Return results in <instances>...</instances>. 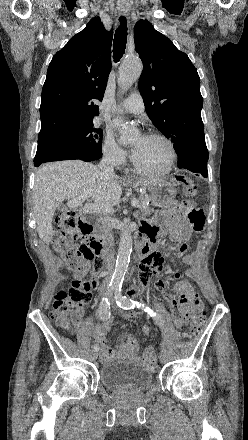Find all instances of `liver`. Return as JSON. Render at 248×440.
<instances>
[{
  "label": "liver",
  "mask_w": 248,
  "mask_h": 440,
  "mask_svg": "<svg viewBox=\"0 0 248 440\" xmlns=\"http://www.w3.org/2000/svg\"><path fill=\"white\" fill-rule=\"evenodd\" d=\"M136 181L147 184L162 180ZM87 191L94 203L110 206L118 204L122 195L117 176L105 175L91 163L58 161L38 168L33 189V208L41 240L50 243L53 236L52 220L61 202L67 198H77Z\"/></svg>",
  "instance_id": "liver-1"
}]
</instances>
